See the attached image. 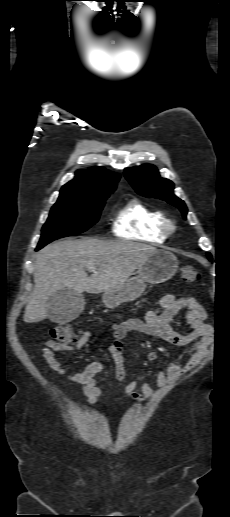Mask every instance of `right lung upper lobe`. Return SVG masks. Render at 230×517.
I'll return each mask as SVG.
<instances>
[{
  "label": "right lung upper lobe",
  "mask_w": 230,
  "mask_h": 517,
  "mask_svg": "<svg viewBox=\"0 0 230 517\" xmlns=\"http://www.w3.org/2000/svg\"><path fill=\"white\" fill-rule=\"evenodd\" d=\"M119 178V175L112 174L103 167H93L88 171L78 170L75 178L62 187L59 199L83 200L113 192Z\"/></svg>",
  "instance_id": "right-lung-upper-lobe-1"
}]
</instances>
